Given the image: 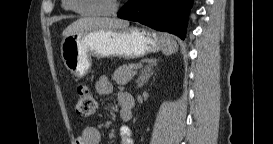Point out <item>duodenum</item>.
Wrapping results in <instances>:
<instances>
[{
	"mask_svg": "<svg viewBox=\"0 0 273 144\" xmlns=\"http://www.w3.org/2000/svg\"><path fill=\"white\" fill-rule=\"evenodd\" d=\"M120 106L124 109L125 120H130L132 118V109L134 107V98L129 94H122L119 99Z\"/></svg>",
	"mask_w": 273,
	"mask_h": 144,
	"instance_id": "duodenum-1",
	"label": "duodenum"
}]
</instances>
